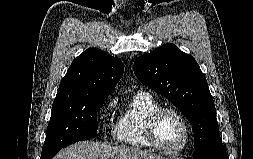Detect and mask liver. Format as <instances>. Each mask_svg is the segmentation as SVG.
Here are the masks:
<instances>
[{"mask_svg":"<svg viewBox=\"0 0 253 159\" xmlns=\"http://www.w3.org/2000/svg\"><path fill=\"white\" fill-rule=\"evenodd\" d=\"M53 159H167L151 151L82 141L61 150Z\"/></svg>","mask_w":253,"mask_h":159,"instance_id":"liver-1","label":"liver"}]
</instances>
